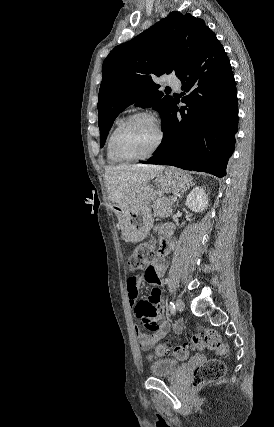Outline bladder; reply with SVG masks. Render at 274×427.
<instances>
[{
	"label": "bladder",
	"mask_w": 274,
	"mask_h": 427,
	"mask_svg": "<svg viewBox=\"0 0 274 427\" xmlns=\"http://www.w3.org/2000/svg\"><path fill=\"white\" fill-rule=\"evenodd\" d=\"M178 368V363L174 359L160 358L152 361L148 367V372L152 377L173 376Z\"/></svg>",
	"instance_id": "31cf9c89"
}]
</instances>
